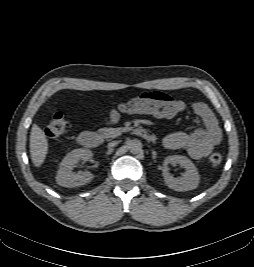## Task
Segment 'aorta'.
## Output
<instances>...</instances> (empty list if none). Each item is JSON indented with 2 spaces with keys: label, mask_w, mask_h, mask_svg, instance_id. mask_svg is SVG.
I'll return each mask as SVG.
<instances>
[{
  "label": "aorta",
  "mask_w": 254,
  "mask_h": 267,
  "mask_svg": "<svg viewBox=\"0 0 254 267\" xmlns=\"http://www.w3.org/2000/svg\"><path fill=\"white\" fill-rule=\"evenodd\" d=\"M128 148L132 154H138L142 151V143L139 140H131L128 143Z\"/></svg>",
  "instance_id": "obj_1"
}]
</instances>
